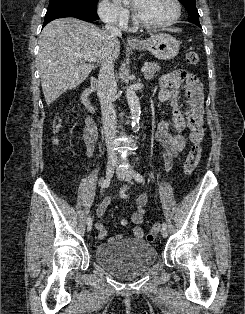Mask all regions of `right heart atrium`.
I'll list each match as a JSON object with an SVG mask.
<instances>
[{
	"label": "right heart atrium",
	"mask_w": 245,
	"mask_h": 314,
	"mask_svg": "<svg viewBox=\"0 0 245 314\" xmlns=\"http://www.w3.org/2000/svg\"><path fill=\"white\" fill-rule=\"evenodd\" d=\"M99 15L105 23L116 27H124L129 20L128 11L109 0H101L99 3Z\"/></svg>",
	"instance_id": "right-heart-atrium-1"
}]
</instances>
